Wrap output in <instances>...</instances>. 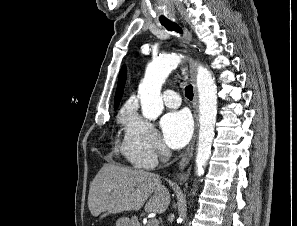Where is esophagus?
<instances>
[{
  "mask_svg": "<svg viewBox=\"0 0 297 226\" xmlns=\"http://www.w3.org/2000/svg\"><path fill=\"white\" fill-rule=\"evenodd\" d=\"M185 36H186V40L188 43L191 42V39H192V35L191 33L188 31L187 28H185ZM191 67V78H192V83H193V88H194V108L197 112V109H198V92H197V87H196V71H195V67L193 65V63H191L190 65ZM195 117H196V125H195V133H194V136H193V139L191 141V143L188 145V147L186 148V151L184 153V155L182 156L179 164H178V169L181 171L183 169H185V167L188 165L191 157H192V154H193V149H194V144H195V140H196V137H197V129H198V117L197 115L195 114Z\"/></svg>",
  "mask_w": 297,
  "mask_h": 226,
  "instance_id": "1",
  "label": "esophagus"
}]
</instances>
